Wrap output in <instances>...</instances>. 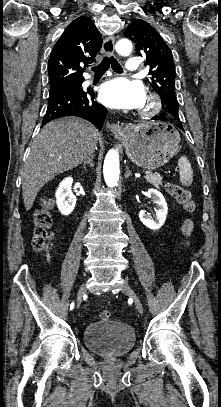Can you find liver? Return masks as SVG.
<instances>
[{
	"instance_id": "1",
	"label": "liver",
	"mask_w": 221,
	"mask_h": 407,
	"mask_svg": "<svg viewBox=\"0 0 221 407\" xmlns=\"http://www.w3.org/2000/svg\"><path fill=\"white\" fill-rule=\"evenodd\" d=\"M98 141L96 127L83 119L68 117L47 123L33 140L22 171L26 210L32 208L47 182L91 157Z\"/></svg>"
}]
</instances>
